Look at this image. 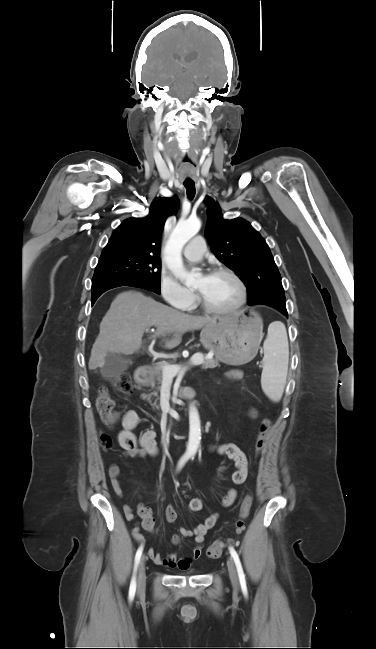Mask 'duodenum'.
<instances>
[{
  "mask_svg": "<svg viewBox=\"0 0 376 649\" xmlns=\"http://www.w3.org/2000/svg\"><path fill=\"white\" fill-rule=\"evenodd\" d=\"M149 375V368L147 366L139 367L135 372V381L138 384H145ZM181 395L185 397H190L192 392L190 389L185 388L181 390Z\"/></svg>",
  "mask_w": 376,
  "mask_h": 649,
  "instance_id": "obj_1",
  "label": "duodenum"
}]
</instances>
